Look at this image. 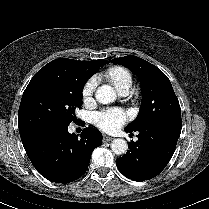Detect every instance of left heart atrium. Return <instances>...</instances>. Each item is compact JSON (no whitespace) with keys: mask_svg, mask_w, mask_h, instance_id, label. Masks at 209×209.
Instances as JSON below:
<instances>
[{"mask_svg":"<svg viewBox=\"0 0 209 209\" xmlns=\"http://www.w3.org/2000/svg\"><path fill=\"white\" fill-rule=\"evenodd\" d=\"M128 115L119 108H110L97 112L93 116L94 123L102 130L111 132L120 128L127 120Z\"/></svg>","mask_w":209,"mask_h":209,"instance_id":"obj_1","label":"left heart atrium"}]
</instances>
